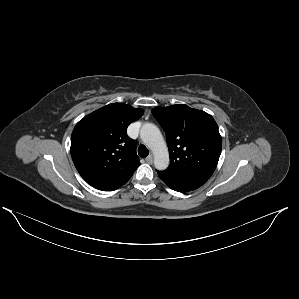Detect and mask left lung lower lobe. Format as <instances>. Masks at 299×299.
Instances as JSON below:
<instances>
[{
  "instance_id": "obj_1",
  "label": "left lung lower lobe",
  "mask_w": 299,
  "mask_h": 299,
  "mask_svg": "<svg viewBox=\"0 0 299 299\" xmlns=\"http://www.w3.org/2000/svg\"><path fill=\"white\" fill-rule=\"evenodd\" d=\"M160 179L177 192H188L202 186L208 179L203 178H175L157 171Z\"/></svg>"
}]
</instances>
